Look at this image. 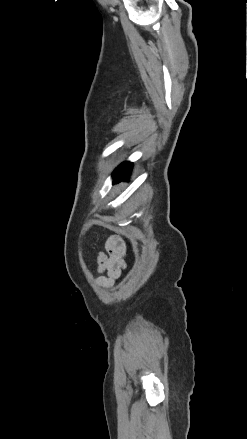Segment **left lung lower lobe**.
<instances>
[{"instance_id":"obj_1","label":"left lung lower lobe","mask_w":247,"mask_h":439,"mask_svg":"<svg viewBox=\"0 0 247 439\" xmlns=\"http://www.w3.org/2000/svg\"><path fill=\"white\" fill-rule=\"evenodd\" d=\"M130 167H131V163H127L124 169L115 170L113 173L114 183L127 179Z\"/></svg>"}]
</instances>
